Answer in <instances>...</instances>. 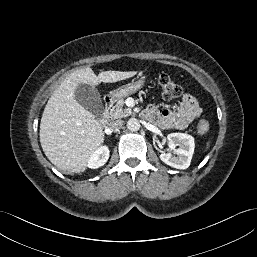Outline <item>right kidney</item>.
Instances as JSON below:
<instances>
[{"label":"right kidney","mask_w":257,"mask_h":257,"mask_svg":"<svg viewBox=\"0 0 257 257\" xmlns=\"http://www.w3.org/2000/svg\"><path fill=\"white\" fill-rule=\"evenodd\" d=\"M109 158V149L107 146H101L95 150L88 159L87 166L96 169L103 166Z\"/></svg>","instance_id":"right-kidney-1"}]
</instances>
